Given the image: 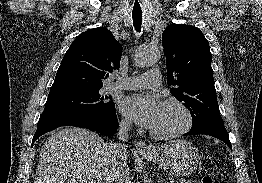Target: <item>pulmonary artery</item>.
<instances>
[{
	"label": "pulmonary artery",
	"instance_id": "obj_1",
	"mask_svg": "<svg viewBox=\"0 0 262 183\" xmlns=\"http://www.w3.org/2000/svg\"><path fill=\"white\" fill-rule=\"evenodd\" d=\"M161 85V75L158 69L149 70L146 73L127 78H117L113 84L118 89L156 88Z\"/></svg>",
	"mask_w": 262,
	"mask_h": 183
}]
</instances>
